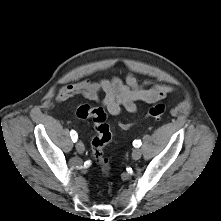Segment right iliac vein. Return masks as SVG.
<instances>
[{
	"mask_svg": "<svg viewBox=\"0 0 221 221\" xmlns=\"http://www.w3.org/2000/svg\"><path fill=\"white\" fill-rule=\"evenodd\" d=\"M75 147H76V150H77L78 153H80V154L84 153L85 147H84V144L82 142H80V141L77 142Z\"/></svg>",
	"mask_w": 221,
	"mask_h": 221,
	"instance_id": "1",
	"label": "right iliac vein"
}]
</instances>
